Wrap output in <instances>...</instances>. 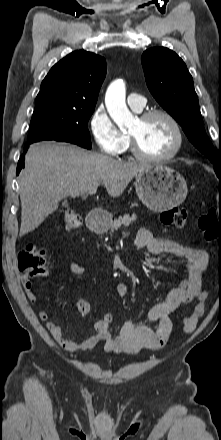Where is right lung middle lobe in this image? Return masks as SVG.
Instances as JSON below:
<instances>
[{
	"label": "right lung middle lobe",
	"instance_id": "dd1d6c3e",
	"mask_svg": "<svg viewBox=\"0 0 221 440\" xmlns=\"http://www.w3.org/2000/svg\"><path fill=\"white\" fill-rule=\"evenodd\" d=\"M95 107H81L55 101L36 103L28 143L42 140L70 142L91 149L88 120Z\"/></svg>",
	"mask_w": 221,
	"mask_h": 440
}]
</instances>
